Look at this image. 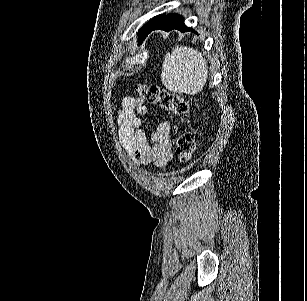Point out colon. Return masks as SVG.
Returning a JSON list of instances; mask_svg holds the SVG:
<instances>
[{"mask_svg": "<svg viewBox=\"0 0 307 301\" xmlns=\"http://www.w3.org/2000/svg\"><path fill=\"white\" fill-rule=\"evenodd\" d=\"M136 89L141 98L148 103L176 115L184 116L188 112V103L177 93L160 88L155 84H138ZM175 154L180 162H188L196 149V142L193 134L189 131L181 130L174 139Z\"/></svg>", "mask_w": 307, "mask_h": 301, "instance_id": "obj_1", "label": "colon"}]
</instances>
